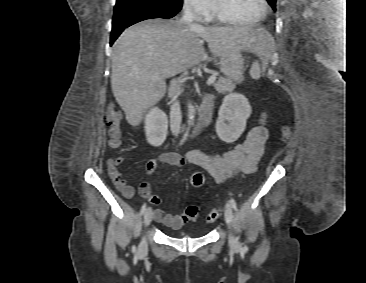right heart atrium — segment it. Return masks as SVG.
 <instances>
[{
    "label": "right heart atrium",
    "mask_w": 366,
    "mask_h": 283,
    "mask_svg": "<svg viewBox=\"0 0 366 283\" xmlns=\"http://www.w3.org/2000/svg\"><path fill=\"white\" fill-rule=\"evenodd\" d=\"M184 9L196 19L206 17L211 11V0H183Z\"/></svg>",
    "instance_id": "1"
}]
</instances>
